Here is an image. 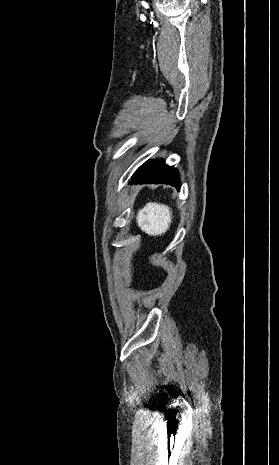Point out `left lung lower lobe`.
Masks as SVG:
<instances>
[{"mask_svg":"<svg viewBox=\"0 0 279 465\" xmlns=\"http://www.w3.org/2000/svg\"><path fill=\"white\" fill-rule=\"evenodd\" d=\"M134 183H164L175 186L180 190V178L177 169L170 167L162 160L147 162L137 173L129 184Z\"/></svg>","mask_w":279,"mask_h":465,"instance_id":"left-lung-lower-lobe-1","label":"left lung lower lobe"}]
</instances>
